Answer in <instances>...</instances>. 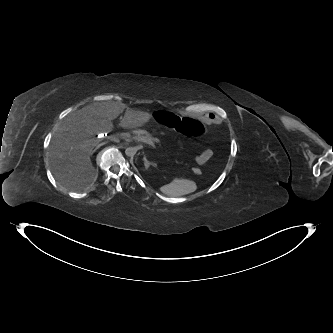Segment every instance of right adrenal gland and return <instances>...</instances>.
I'll use <instances>...</instances> for the list:
<instances>
[{
  "mask_svg": "<svg viewBox=\"0 0 333 333\" xmlns=\"http://www.w3.org/2000/svg\"><path fill=\"white\" fill-rule=\"evenodd\" d=\"M103 144H106V142L103 143ZM103 144H102V145H103ZM98 148H99V146H97V147L94 149V152H95Z\"/></svg>",
  "mask_w": 333,
  "mask_h": 333,
  "instance_id": "1",
  "label": "right adrenal gland"
}]
</instances>
